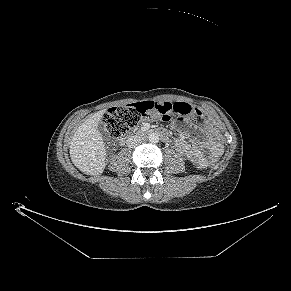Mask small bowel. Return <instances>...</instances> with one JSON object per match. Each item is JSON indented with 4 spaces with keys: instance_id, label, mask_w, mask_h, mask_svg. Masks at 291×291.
I'll use <instances>...</instances> for the list:
<instances>
[{
    "instance_id": "obj_1",
    "label": "small bowel",
    "mask_w": 291,
    "mask_h": 291,
    "mask_svg": "<svg viewBox=\"0 0 291 291\" xmlns=\"http://www.w3.org/2000/svg\"><path fill=\"white\" fill-rule=\"evenodd\" d=\"M172 124L179 133V137L174 141L177 151L195 166L199 168L207 166L208 159L203 151L204 149L210 152V156L219 157L221 155L223 151L221 135L213 124H205L197 144L189 143L185 138L187 128L190 126L188 121L178 119L173 121Z\"/></svg>"
}]
</instances>
